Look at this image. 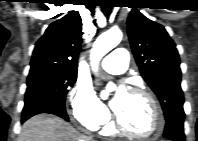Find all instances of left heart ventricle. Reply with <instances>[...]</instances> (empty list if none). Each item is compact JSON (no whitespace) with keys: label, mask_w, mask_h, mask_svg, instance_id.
I'll list each match as a JSON object with an SVG mask.
<instances>
[{"label":"left heart ventricle","mask_w":198,"mask_h":141,"mask_svg":"<svg viewBox=\"0 0 198 141\" xmlns=\"http://www.w3.org/2000/svg\"><path fill=\"white\" fill-rule=\"evenodd\" d=\"M116 113L121 123L133 132L147 134L154 127L152 106L144 96L129 93Z\"/></svg>","instance_id":"left-heart-ventricle-1"}]
</instances>
